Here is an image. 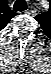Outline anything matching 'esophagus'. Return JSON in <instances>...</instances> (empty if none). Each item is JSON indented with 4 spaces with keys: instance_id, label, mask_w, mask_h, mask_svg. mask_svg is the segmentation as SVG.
I'll return each mask as SVG.
<instances>
[{
    "instance_id": "1",
    "label": "esophagus",
    "mask_w": 51,
    "mask_h": 74,
    "mask_svg": "<svg viewBox=\"0 0 51 74\" xmlns=\"http://www.w3.org/2000/svg\"><path fill=\"white\" fill-rule=\"evenodd\" d=\"M26 13H30V11L28 10Z\"/></svg>"
}]
</instances>
